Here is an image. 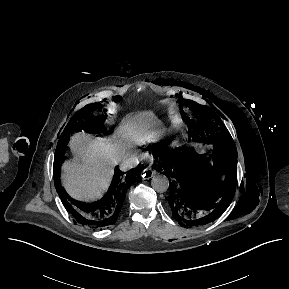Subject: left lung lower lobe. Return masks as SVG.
Wrapping results in <instances>:
<instances>
[{
	"instance_id": "left-lung-lower-lobe-1",
	"label": "left lung lower lobe",
	"mask_w": 289,
	"mask_h": 289,
	"mask_svg": "<svg viewBox=\"0 0 289 289\" xmlns=\"http://www.w3.org/2000/svg\"><path fill=\"white\" fill-rule=\"evenodd\" d=\"M199 157V154L190 149H178L169 152L164 162L163 174L168 177L171 188L166 199L173 217L183 227L205 225L214 221L230 205L235 193L237 162L222 168L217 164L213 152L216 171L224 172L226 177L224 185L215 193L204 194L193 177L194 166Z\"/></svg>"
}]
</instances>
